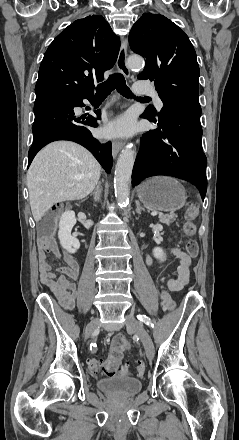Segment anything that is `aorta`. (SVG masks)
Masks as SVG:
<instances>
[{"mask_svg": "<svg viewBox=\"0 0 239 440\" xmlns=\"http://www.w3.org/2000/svg\"><path fill=\"white\" fill-rule=\"evenodd\" d=\"M130 68H143L144 60L141 56H130L128 60ZM136 158V152L133 146H125L122 150L115 168V196L117 198L118 206L126 208L129 204L131 174Z\"/></svg>", "mask_w": 239, "mask_h": 440, "instance_id": "1", "label": "aorta"}]
</instances>
